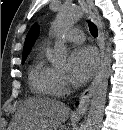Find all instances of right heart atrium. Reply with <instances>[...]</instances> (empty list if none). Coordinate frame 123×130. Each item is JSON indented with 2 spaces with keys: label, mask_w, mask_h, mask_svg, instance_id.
<instances>
[{
  "label": "right heart atrium",
  "mask_w": 123,
  "mask_h": 130,
  "mask_svg": "<svg viewBox=\"0 0 123 130\" xmlns=\"http://www.w3.org/2000/svg\"><path fill=\"white\" fill-rule=\"evenodd\" d=\"M69 90V79L61 72L57 76V91L58 95L65 94Z\"/></svg>",
  "instance_id": "right-heart-atrium-1"
}]
</instances>
